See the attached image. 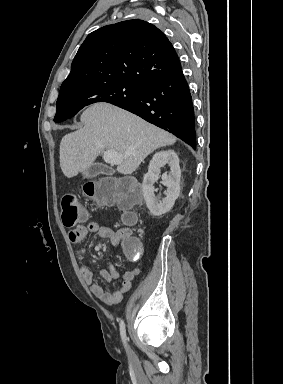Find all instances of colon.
I'll list each match as a JSON object with an SVG mask.
<instances>
[{
  "label": "colon",
  "instance_id": "5ec220e1",
  "mask_svg": "<svg viewBox=\"0 0 283 384\" xmlns=\"http://www.w3.org/2000/svg\"><path fill=\"white\" fill-rule=\"evenodd\" d=\"M83 195L93 203L102 207L117 206L125 213V220L133 222V208L140 199V192L133 181L115 177L91 181L83 186ZM88 212L81 207L75 194L68 193L62 198V221L65 226L73 227L84 222ZM120 238L124 241L127 256L136 260L142 255L141 244L130 237L128 231L122 232Z\"/></svg>",
  "mask_w": 283,
  "mask_h": 384
}]
</instances>
